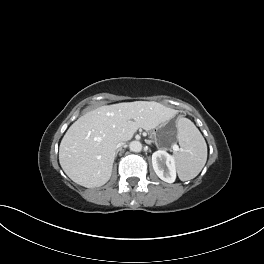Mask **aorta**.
<instances>
[{
  "label": "aorta",
  "instance_id": "762f6f07",
  "mask_svg": "<svg viewBox=\"0 0 264 264\" xmlns=\"http://www.w3.org/2000/svg\"><path fill=\"white\" fill-rule=\"evenodd\" d=\"M142 144L139 141H132L129 144V148L133 152H140L142 150Z\"/></svg>",
  "mask_w": 264,
  "mask_h": 264
}]
</instances>
